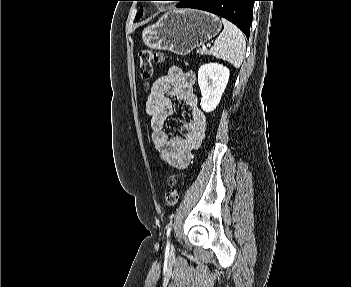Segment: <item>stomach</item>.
Listing matches in <instances>:
<instances>
[{
  "label": "stomach",
  "instance_id": "1",
  "mask_svg": "<svg viewBox=\"0 0 351 287\" xmlns=\"http://www.w3.org/2000/svg\"><path fill=\"white\" fill-rule=\"evenodd\" d=\"M221 28L220 19L211 13L196 9L173 10L144 28L142 39L151 49L187 55L215 37Z\"/></svg>",
  "mask_w": 351,
  "mask_h": 287
}]
</instances>
